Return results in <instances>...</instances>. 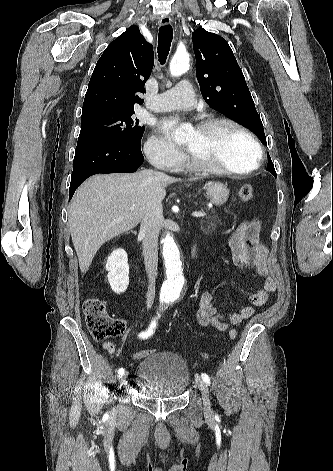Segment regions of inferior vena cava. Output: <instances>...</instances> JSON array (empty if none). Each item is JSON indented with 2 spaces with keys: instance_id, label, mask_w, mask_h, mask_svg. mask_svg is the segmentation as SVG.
I'll return each mask as SVG.
<instances>
[{
  "instance_id": "1",
  "label": "inferior vena cava",
  "mask_w": 333,
  "mask_h": 471,
  "mask_svg": "<svg viewBox=\"0 0 333 471\" xmlns=\"http://www.w3.org/2000/svg\"><path fill=\"white\" fill-rule=\"evenodd\" d=\"M163 220L162 204H149L144 212L140 233L143 236V256L145 269L149 278L147 292V309L152 307L155 297V282L158 267V236Z\"/></svg>"
}]
</instances>
